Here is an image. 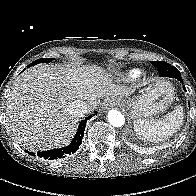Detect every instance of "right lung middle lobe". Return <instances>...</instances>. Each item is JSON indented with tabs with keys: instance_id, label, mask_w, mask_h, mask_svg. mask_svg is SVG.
<instances>
[{
	"instance_id": "obj_1",
	"label": "right lung middle lobe",
	"mask_w": 196,
	"mask_h": 196,
	"mask_svg": "<svg viewBox=\"0 0 196 196\" xmlns=\"http://www.w3.org/2000/svg\"><path fill=\"white\" fill-rule=\"evenodd\" d=\"M52 60H53V58H41V59H38V60L34 61L33 63L29 64L27 67L36 65L38 63H50Z\"/></svg>"
}]
</instances>
